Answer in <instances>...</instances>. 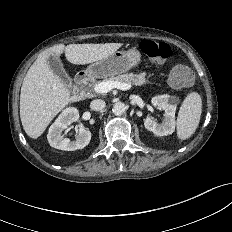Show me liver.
Returning <instances> with one entry per match:
<instances>
[{"label": "liver", "mask_w": 232, "mask_h": 232, "mask_svg": "<svg viewBox=\"0 0 232 232\" xmlns=\"http://www.w3.org/2000/svg\"><path fill=\"white\" fill-rule=\"evenodd\" d=\"M122 43L57 44L41 53L29 68L21 87L20 118L26 134L37 139L52 119L69 103L79 101L50 69V55L65 53L73 64L85 65L104 59L117 51Z\"/></svg>", "instance_id": "1"}]
</instances>
